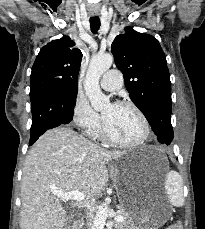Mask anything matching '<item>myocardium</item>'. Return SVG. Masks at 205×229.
Returning a JSON list of instances; mask_svg holds the SVG:
<instances>
[{"label":"myocardium","mask_w":205,"mask_h":229,"mask_svg":"<svg viewBox=\"0 0 205 229\" xmlns=\"http://www.w3.org/2000/svg\"><path fill=\"white\" fill-rule=\"evenodd\" d=\"M116 105L126 106L134 110V112L138 115L142 123L143 132L141 136L134 141L125 142V141L116 140L110 135L106 125L105 118L102 117V124H101L102 137L107 143L116 147L131 148V147H137L142 145L150 136V124L146 115L136 104H134L131 101H127V100L119 101Z\"/></svg>","instance_id":"f54148a6"}]
</instances>
